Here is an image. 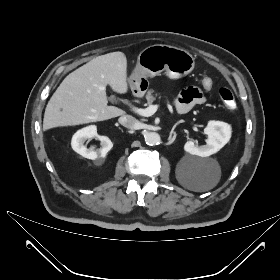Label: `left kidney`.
Instances as JSON below:
<instances>
[{"label":"left kidney","instance_id":"obj_1","mask_svg":"<svg viewBox=\"0 0 280 280\" xmlns=\"http://www.w3.org/2000/svg\"><path fill=\"white\" fill-rule=\"evenodd\" d=\"M204 133L208 135L206 145L198 146L190 140L185 143L184 150L191 155L200 157H207L215 154L230 140L231 127L225 122L213 120L208 122Z\"/></svg>","mask_w":280,"mask_h":280}]
</instances>
